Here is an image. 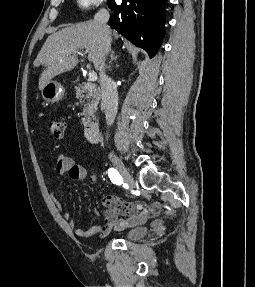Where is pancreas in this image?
Here are the masks:
<instances>
[{
	"label": "pancreas",
	"instance_id": "obj_1",
	"mask_svg": "<svg viewBox=\"0 0 255 287\" xmlns=\"http://www.w3.org/2000/svg\"><path fill=\"white\" fill-rule=\"evenodd\" d=\"M77 98H80V104H83V118L82 122L88 124L91 122L90 116H94L100 100V92L96 88L95 84L87 82V84H78V88H75Z\"/></svg>",
	"mask_w": 255,
	"mask_h": 287
}]
</instances>
